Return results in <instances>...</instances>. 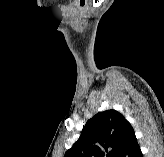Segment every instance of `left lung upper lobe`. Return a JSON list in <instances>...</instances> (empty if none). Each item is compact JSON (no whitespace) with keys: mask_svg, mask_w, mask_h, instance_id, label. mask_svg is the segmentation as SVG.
Listing matches in <instances>:
<instances>
[{"mask_svg":"<svg viewBox=\"0 0 164 157\" xmlns=\"http://www.w3.org/2000/svg\"><path fill=\"white\" fill-rule=\"evenodd\" d=\"M134 134L130 123L116 110L99 112L87 121L64 157H118Z\"/></svg>","mask_w":164,"mask_h":157,"instance_id":"obj_1","label":"left lung upper lobe"}]
</instances>
